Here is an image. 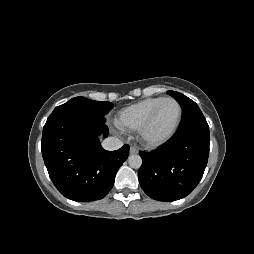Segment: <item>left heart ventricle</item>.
Segmentation results:
<instances>
[{
	"label": "left heart ventricle",
	"instance_id": "b2bd125f",
	"mask_svg": "<svg viewBox=\"0 0 254 254\" xmlns=\"http://www.w3.org/2000/svg\"><path fill=\"white\" fill-rule=\"evenodd\" d=\"M177 117L178 106L174 102L164 103L148 130V136L152 139L165 136L174 126Z\"/></svg>",
	"mask_w": 254,
	"mask_h": 254
}]
</instances>
